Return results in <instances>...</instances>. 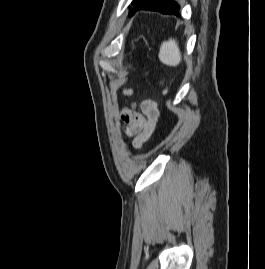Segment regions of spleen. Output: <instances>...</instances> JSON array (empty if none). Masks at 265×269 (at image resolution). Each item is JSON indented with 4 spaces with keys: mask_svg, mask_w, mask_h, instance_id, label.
<instances>
[{
    "mask_svg": "<svg viewBox=\"0 0 265 269\" xmlns=\"http://www.w3.org/2000/svg\"><path fill=\"white\" fill-rule=\"evenodd\" d=\"M159 60L168 66L176 67L181 62V53L178 43L175 39H169L161 44L159 51Z\"/></svg>",
    "mask_w": 265,
    "mask_h": 269,
    "instance_id": "obj_1",
    "label": "spleen"
}]
</instances>
